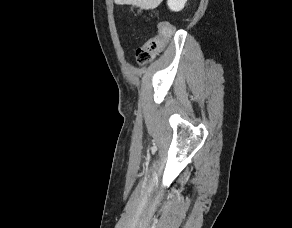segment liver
<instances>
[{"instance_id": "1", "label": "liver", "mask_w": 292, "mask_h": 228, "mask_svg": "<svg viewBox=\"0 0 292 228\" xmlns=\"http://www.w3.org/2000/svg\"><path fill=\"white\" fill-rule=\"evenodd\" d=\"M119 5H133L138 6L142 9L151 10L155 9L160 5L163 0H114Z\"/></svg>"}]
</instances>
